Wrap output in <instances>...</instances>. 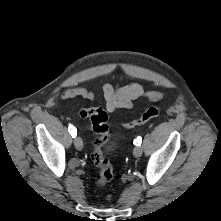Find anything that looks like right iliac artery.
<instances>
[{"mask_svg":"<svg viewBox=\"0 0 221 221\" xmlns=\"http://www.w3.org/2000/svg\"><path fill=\"white\" fill-rule=\"evenodd\" d=\"M68 130L72 137H75L77 135V129L73 127L72 125L69 126Z\"/></svg>","mask_w":221,"mask_h":221,"instance_id":"1","label":"right iliac artery"}]
</instances>
